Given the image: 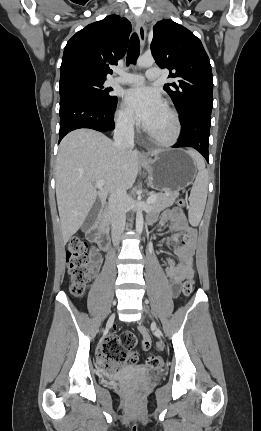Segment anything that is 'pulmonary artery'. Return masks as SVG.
Wrapping results in <instances>:
<instances>
[{
  "label": "pulmonary artery",
  "instance_id": "1",
  "mask_svg": "<svg viewBox=\"0 0 261 431\" xmlns=\"http://www.w3.org/2000/svg\"><path fill=\"white\" fill-rule=\"evenodd\" d=\"M161 76V70L157 67H152L147 70L145 77L136 73H126L112 80L113 83H123L128 85H141L145 78L148 80H156Z\"/></svg>",
  "mask_w": 261,
  "mask_h": 431
}]
</instances>
